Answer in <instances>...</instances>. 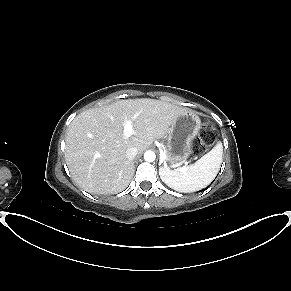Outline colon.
Segmentation results:
<instances>
[{"instance_id": "obj_1", "label": "colon", "mask_w": 291, "mask_h": 291, "mask_svg": "<svg viewBox=\"0 0 291 291\" xmlns=\"http://www.w3.org/2000/svg\"><path fill=\"white\" fill-rule=\"evenodd\" d=\"M213 127L209 124H205L199 134V136L192 142V151L195 155L204 153L213 143Z\"/></svg>"}]
</instances>
